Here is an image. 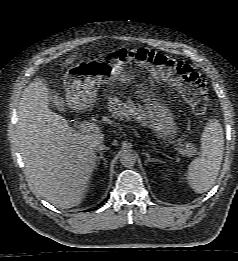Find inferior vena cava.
Returning a JSON list of instances; mask_svg holds the SVG:
<instances>
[{
  "mask_svg": "<svg viewBox=\"0 0 238 261\" xmlns=\"http://www.w3.org/2000/svg\"><path fill=\"white\" fill-rule=\"evenodd\" d=\"M103 147H105V146L99 144V145H97V146L95 147V150H102Z\"/></svg>",
  "mask_w": 238,
  "mask_h": 261,
  "instance_id": "1",
  "label": "inferior vena cava"
}]
</instances>
